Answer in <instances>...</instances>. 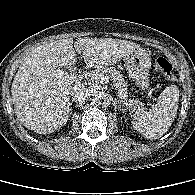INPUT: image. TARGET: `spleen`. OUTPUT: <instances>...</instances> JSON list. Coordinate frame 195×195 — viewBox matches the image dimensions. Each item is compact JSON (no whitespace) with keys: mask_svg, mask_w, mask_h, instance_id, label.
Masks as SVG:
<instances>
[{"mask_svg":"<svg viewBox=\"0 0 195 195\" xmlns=\"http://www.w3.org/2000/svg\"><path fill=\"white\" fill-rule=\"evenodd\" d=\"M179 90L176 85L166 87L150 111L135 113L132 125L147 139H158L171 126L178 109Z\"/></svg>","mask_w":195,"mask_h":195,"instance_id":"1","label":"spleen"}]
</instances>
